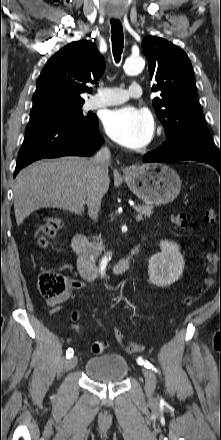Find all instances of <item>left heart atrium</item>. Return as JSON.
I'll list each match as a JSON object with an SVG mask.
<instances>
[{
    "mask_svg": "<svg viewBox=\"0 0 221 440\" xmlns=\"http://www.w3.org/2000/svg\"><path fill=\"white\" fill-rule=\"evenodd\" d=\"M104 127L114 141L137 149L151 139L154 123L147 110L127 106L109 112L104 120Z\"/></svg>",
    "mask_w": 221,
    "mask_h": 440,
    "instance_id": "left-heart-atrium-1",
    "label": "left heart atrium"
}]
</instances>
